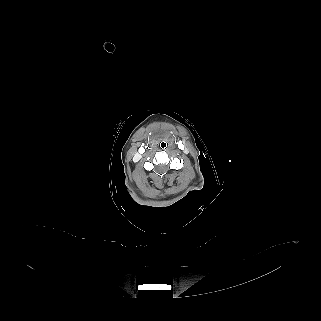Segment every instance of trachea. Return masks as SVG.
Segmentation results:
<instances>
[{"mask_svg": "<svg viewBox=\"0 0 321 321\" xmlns=\"http://www.w3.org/2000/svg\"><path fill=\"white\" fill-rule=\"evenodd\" d=\"M159 147L160 148H165L166 147V142L165 141H160L159 142Z\"/></svg>", "mask_w": 321, "mask_h": 321, "instance_id": "3493384b", "label": "trachea"}]
</instances>
